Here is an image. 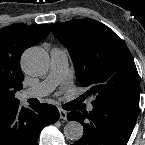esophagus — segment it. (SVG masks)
Here are the masks:
<instances>
[{
    "label": "esophagus",
    "mask_w": 145,
    "mask_h": 145,
    "mask_svg": "<svg viewBox=\"0 0 145 145\" xmlns=\"http://www.w3.org/2000/svg\"><path fill=\"white\" fill-rule=\"evenodd\" d=\"M59 115H60L61 119H63V120L67 119V112L65 110L59 109Z\"/></svg>",
    "instance_id": "1"
}]
</instances>
